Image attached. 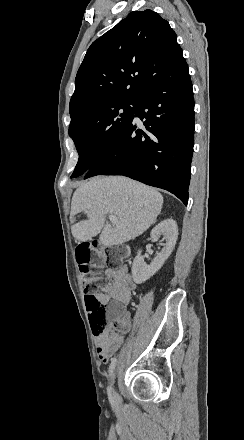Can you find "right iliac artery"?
I'll return each mask as SVG.
<instances>
[{
	"label": "right iliac artery",
	"mask_w": 244,
	"mask_h": 440,
	"mask_svg": "<svg viewBox=\"0 0 244 440\" xmlns=\"http://www.w3.org/2000/svg\"><path fill=\"white\" fill-rule=\"evenodd\" d=\"M116 361H117V359H116L115 357H114V358H111V363H110V365H109V369H108L109 376H111L113 370L115 369ZM107 392H108V396H109L110 403H111V405L113 406L114 403H115V401H114V398L112 397V389H111L110 386L107 387Z\"/></svg>",
	"instance_id": "82829eb1"
}]
</instances>
